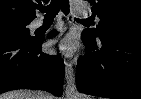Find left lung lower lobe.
<instances>
[{
  "label": "left lung lower lobe",
  "mask_w": 141,
  "mask_h": 99,
  "mask_svg": "<svg viewBox=\"0 0 141 99\" xmlns=\"http://www.w3.org/2000/svg\"><path fill=\"white\" fill-rule=\"evenodd\" d=\"M78 59L76 83L80 92L111 98L141 99V36L106 34L91 41Z\"/></svg>",
  "instance_id": "1"
}]
</instances>
